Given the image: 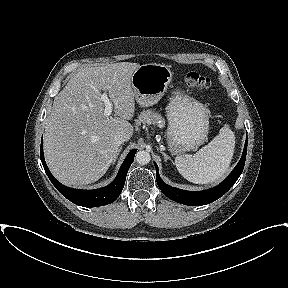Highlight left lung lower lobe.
Masks as SVG:
<instances>
[{"instance_id": "obj_1", "label": "left lung lower lobe", "mask_w": 288, "mask_h": 288, "mask_svg": "<svg viewBox=\"0 0 288 288\" xmlns=\"http://www.w3.org/2000/svg\"><path fill=\"white\" fill-rule=\"evenodd\" d=\"M246 153H247V139L245 142L242 157L239 163L230 173V175L218 186L206 191H199V192L186 191L165 184L159 176L157 164L154 163L156 167V181L163 194L175 202L189 206L206 205L219 199L235 184V182L237 181V179L239 178V176L243 171L246 160Z\"/></svg>"}]
</instances>
